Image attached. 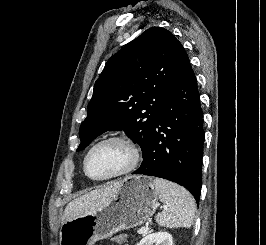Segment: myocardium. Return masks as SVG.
Masks as SVG:
<instances>
[{"mask_svg": "<svg viewBox=\"0 0 266 245\" xmlns=\"http://www.w3.org/2000/svg\"><path fill=\"white\" fill-rule=\"evenodd\" d=\"M107 141H120L124 144H126L130 151H131V160L130 163L128 165V167L122 171L119 174H116L114 176H110V177H106V178H96L91 176L88 171H87V161L88 158L91 154V152L100 144L107 142ZM142 158V150L140 148V146L132 139L124 136V135H119V134H112V135H108L105 137L100 138L98 141H96L95 143H93L88 150L86 151L84 158H83V162H82V168H83V172L84 174L91 180L94 181H98V182H108V181H112V180H117V179H122L126 176H128L129 174H131L132 172H134L136 170V168L138 167L140 161Z\"/></svg>", "mask_w": 266, "mask_h": 245, "instance_id": "f54148a6", "label": "myocardium"}]
</instances>
